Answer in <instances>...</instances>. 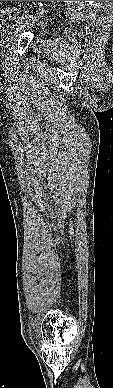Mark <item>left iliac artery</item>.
I'll list each match as a JSON object with an SVG mask.
<instances>
[{
	"mask_svg": "<svg viewBox=\"0 0 113 388\" xmlns=\"http://www.w3.org/2000/svg\"><path fill=\"white\" fill-rule=\"evenodd\" d=\"M38 10L44 11L43 5H42L41 3H40L39 6H38ZM38 10H37V11H38ZM36 14H37V13H36ZM36 14L25 15V16L18 17L17 20H16V22H17V23H20V22L26 20L27 18H33Z\"/></svg>",
	"mask_w": 113,
	"mask_h": 388,
	"instance_id": "1",
	"label": "left iliac artery"
}]
</instances>
